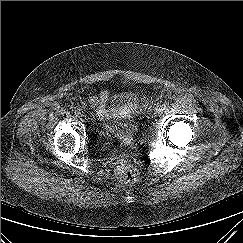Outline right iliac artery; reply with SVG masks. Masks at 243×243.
Returning <instances> with one entry per match:
<instances>
[{
	"label": "right iliac artery",
	"instance_id": "1",
	"mask_svg": "<svg viewBox=\"0 0 243 243\" xmlns=\"http://www.w3.org/2000/svg\"><path fill=\"white\" fill-rule=\"evenodd\" d=\"M74 114H75L76 116H79V115L81 114V112H80V110H75V111H74Z\"/></svg>",
	"mask_w": 243,
	"mask_h": 243
}]
</instances>
